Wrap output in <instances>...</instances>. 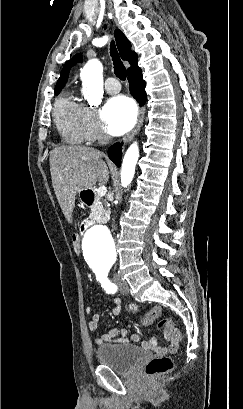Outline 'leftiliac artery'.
<instances>
[{
	"instance_id": "44dca946",
	"label": "left iliac artery",
	"mask_w": 243,
	"mask_h": 409,
	"mask_svg": "<svg viewBox=\"0 0 243 409\" xmlns=\"http://www.w3.org/2000/svg\"><path fill=\"white\" fill-rule=\"evenodd\" d=\"M97 280L107 293H115L117 286L108 279V270H95Z\"/></svg>"
}]
</instances>
